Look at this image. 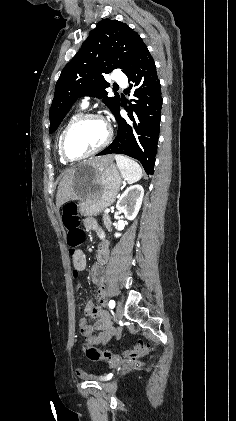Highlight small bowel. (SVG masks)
Instances as JSON below:
<instances>
[{
	"label": "small bowel",
	"mask_w": 236,
	"mask_h": 421,
	"mask_svg": "<svg viewBox=\"0 0 236 421\" xmlns=\"http://www.w3.org/2000/svg\"><path fill=\"white\" fill-rule=\"evenodd\" d=\"M84 226H85L86 229L91 230V231H94L95 233H97V235H99L100 237H103L104 236V233L102 231V228H101V226L99 225V223L97 222L96 219H94V218H86L85 221H84ZM77 264H78L79 267H84L85 266L84 256H80L79 257V259L77 261ZM100 318L104 321V324H105V326H104V329H105V338L103 340H96V339H94L92 337H89V340L91 342H101V341L105 342L106 340H108L115 333V329L112 326V324L110 323L107 315L104 314V313H100ZM83 324H84V322L81 323V325H83ZM79 374H80V372H79Z\"/></svg>",
	"instance_id": "1"
}]
</instances>
